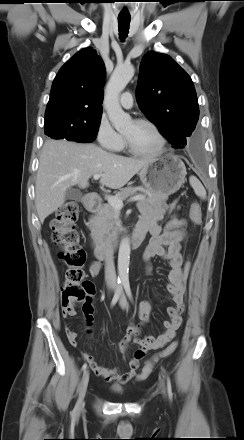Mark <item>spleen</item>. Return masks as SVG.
I'll use <instances>...</instances> for the list:
<instances>
[{
  "label": "spleen",
  "mask_w": 244,
  "mask_h": 440,
  "mask_svg": "<svg viewBox=\"0 0 244 440\" xmlns=\"http://www.w3.org/2000/svg\"><path fill=\"white\" fill-rule=\"evenodd\" d=\"M189 182L195 194L201 199L205 200L207 198L206 190L201 182L195 176H190Z\"/></svg>",
  "instance_id": "obj_1"
}]
</instances>
